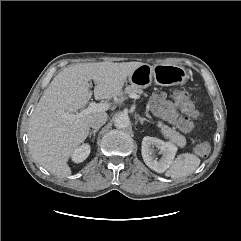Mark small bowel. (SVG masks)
<instances>
[{
    "label": "small bowel",
    "instance_id": "small-bowel-1",
    "mask_svg": "<svg viewBox=\"0 0 241 241\" xmlns=\"http://www.w3.org/2000/svg\"><path fill=\"white\" fill-rule=\"evenodd\" d=\"M152 102L156 115L175 125L183 133H190L193 130L194 125L192 121L181 115L163 92H156L152 97Z\"/></svg>",
    "mask_w": 241,
    "mask_h": 241
}]
</instances>
